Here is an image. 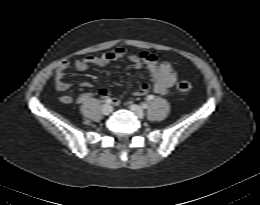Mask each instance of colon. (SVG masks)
I'll return each instance as SVG.
<instances>
[{
	"label": "colon",
	"instance_id": "obj_1",
	"mask_svg": "<svg viewBox=\"0 0 260 205\" xmlns=\"http://www.w3.org/2000/svg\"><path fill=\"white\" fill-rule=\"evenodd\" d=\"M177 89L181 92H188L192 89V85L190 82H188L186 80H180L177 83Z\"/></svg>",
	"mask_w": 260,
	"mask_h": 205
}]
</instances>
